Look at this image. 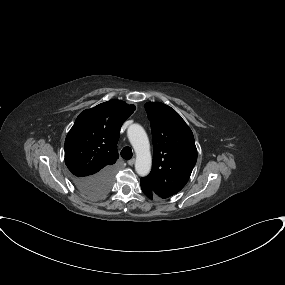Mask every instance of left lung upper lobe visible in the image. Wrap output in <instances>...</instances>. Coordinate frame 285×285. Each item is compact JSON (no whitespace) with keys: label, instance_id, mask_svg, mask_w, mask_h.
<instances>
[{"label":"left lung upper lobe","instance_id":"left-lung-upper-lobe-1","mask_svg":"<svg viewBox=\"0 0 285 285\" xmlns=\"http://www.w3.org/2000/svg\"><path fill=\"white\" fill-rule=\"evenodd\" d=\"M145 109L151 123L153 165L141 180L159 197L179 192L189 180L196 164L197 149L191 129L171 107L148 102Z\"/></svg>","mask_w":285,"mask_h":285}]
</instances>
